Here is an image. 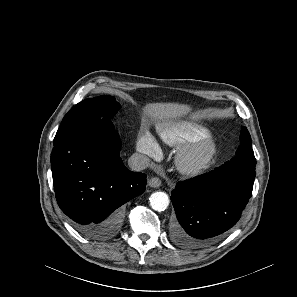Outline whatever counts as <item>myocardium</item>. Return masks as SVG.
<instances>
[{
	"instance_id": "1",
	"label": "myocardium",
	"mask_w": 297,
	"mask_h": 297,
	"mask_svg": "<svg viewBox=\"0 0 297 297\" xmlns=\"http://www.w3.org/2000/svg\"><path fill=\"white\" fill-rule=\"evenodd\" d=\"M217 152L218 145L212 137L198 138L179 150L176 156L177 169L184 175H196L211 164Z\"/></svg>"
}]
</instances>
